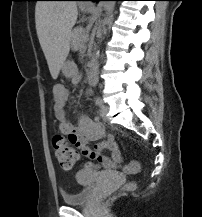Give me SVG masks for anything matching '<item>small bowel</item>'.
I'll use <instances>...</instances> for the list:
<instances>
[{
    "instance_id": "c3829d8e",
    "label": "small bowel",
    "mask_w": 202,
    "mask_h": 217,
    "mask_svg": "<svg viewBox=\"0 0 202 217\" xmlns=\"http://www.w3.org/2000/svg\"><path fill=\"white\" fill-rule=\"evenodd\" d=\"M82 78L80 72L72 76V83L78 84ZM90 90H87V94ZM69 97V90L64 85H56L53 88L54 112L59 123L60 131L68 136L69 141L79 147L85 157L98 160L105 170L116 171L122 162V156L114 140L113 134L106 135L104 126L95 118L90 119L85 115L78 117L74 124L68 119L66 104ZM93 147L89 146L90 141H98ZM104 150H109L112 157L102 154Z\"/></svg>"
}]
</instances>
